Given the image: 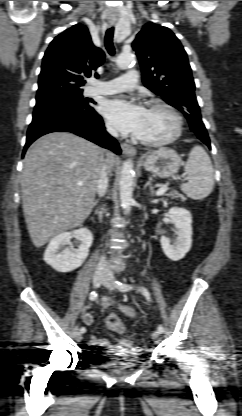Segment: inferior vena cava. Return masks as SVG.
I'll return each mask as SVG.
<instances>
[{"instance_id":"602c4592","label":"inferior vena cava","mask_w":242,"mask_h":416,"mask_svg":"<svg viewBox=\"0 0 242 416\" xmlns=\"http://www.w3.org/2000/svg\"><path fill=\"white\" fill-rule=\"evenodd\" d=\"M107 131L114 137L118 136V132L111 126L107 125ZM108 170L109 167L107 165V163L105 162L100 169L99 172V177H98V181H97V188L96 191L99 194V196H103L106 191H107V187H108ZM97 270L101 271V272H108L109 268L106 262V258L104 256H102L98 262L97 265Z\"/></svg>"}]
</instances>
